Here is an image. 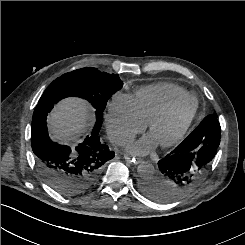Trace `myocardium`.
Returning a JSON list of instances; mask_svg holds the SVG:
<instances>
[{
  "label": "myocardium",
  "instance_id": "obj_1",
  "mask_svg": "<svg viewBox=\"0 0 245 245\" xmlns=\"http://www.w3.org/2000/svg\"><path fill=\"white\" fill-rule=\"evenodd\" d=\"M188 102H194V108L192 110V113L190 114V116L188 117V119L185 121V123L182 125V127L180 128V130L168 141L166 142H161L159 143L160 147L167 149V148H171L173 146H176L177 144H179L184 136L186 135V133L188 132L189 128L191 127L197 112H198V108H199V103L196 97L189 95L185 98H182L180 100H177L173 103H171L170 105H168L166 108H164L162 111H160L159 113H157L155 116H153L149 121H148V131L151 133L154 129V127L166 120L167 118H169L175 111H177L181 106H183L184 104L188 103Z\"/></svg>",
  "mask_w": 245,
  "mask_h": 245
}]
</instances>
